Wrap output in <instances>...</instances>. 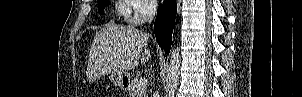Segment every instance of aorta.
I'll return each mask as SVG.
<instances>
[{
  "instance_id": "aorta-1",
  "label": "aorta",
  "mask_w": 302,
  "mask_h": 97,
  "mask_svg": "<svg viewBox=\"0 0 302 97\" xmlns=\"http://www.w3.org/2000/svg\"><path fill=\"white\" fill-rule=\"evenodd\" d=\"M180 50L178 47H173L170 57V66L168 74V97H174L178 86L179 73H180Z\"/></svg>"
}]
</instances>
